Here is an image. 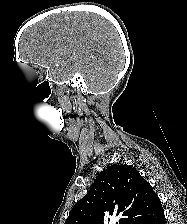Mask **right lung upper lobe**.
<instances>
[{
	"label": "right lung upper lobe",
	"instance_id": "obj_1",
	"mask_svg": "<svg viewBox=\"0 0 187 224\" xmlns=\"http://www.w3.org/2000/svg\"><path fill=\"white\" fill-rule=\"evenodd\" d=\"M162 211L157 194L136 169L113 164L97 176L65 224H104L112 215L122 217L119 224H138Z\"/></svg>",
	"mask_w": 187,
	"mask_h": 224
}]
</instances>
